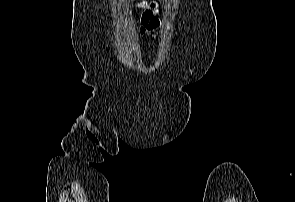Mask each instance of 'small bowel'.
<instances>
[{"instance_id":"1","label":"small bowel","mask_w":295,"mask_h":202,"mask_svg":"<svg viewBox=\"0 0 295 202\" xmlns=\"http://www.w3.org/2000/svg\"><path fill=\"white\" fill-rule=\"evenodd\" d=\"M139 8H143V12L140 18L139 32L142 34H150L154 33L156 29L160 26V18L158 17V5L155 2H146L141 4ZM152 38L155 40L156 36Z\"/></svg>"}]
</instances>
